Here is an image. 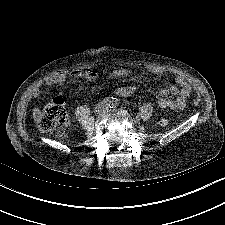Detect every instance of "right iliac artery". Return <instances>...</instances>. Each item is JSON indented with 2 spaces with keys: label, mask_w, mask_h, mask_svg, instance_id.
Returning a JSON list of instances; mask_svg holds the SVG:
<instances>
[{
  "label": "right iliac artery",
  "mask_w": 225,
  "mask_h": 225,
  "mask_svg": "<svg viewBox=\"0 0 225 225\" xmlns=\"http://www.w3.org/2000/svg\"><path fill=\"white\" fill-rule=\"evenodd\" d=\"M113 100H114L113 97H106V98H104V100H103V104H104L105 106L111 107V106H112V103H113Z\"/></svg>",
  "instance_id": "right-iliac-artery-1"
}]
</instances>
